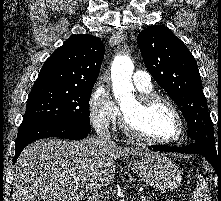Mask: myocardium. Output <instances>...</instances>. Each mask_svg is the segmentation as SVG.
Here are the masks:
<instances>
[{"label":"myocardium","mask_w":221,"mask_h":201,"mask_svg":"<svg viewBox=\"0 0 221 201\" xmlns=\"http://www.w3.org/2000/svg\"><path fill=\"white\" fill-rule=\"evenodd\" d=\"M136 101L139 107L141 108H146L154 103L161 102L166 104L172 112L175 114L178 123H179V132L178 134L171 139H157V138H152L147 135H144L137 131L129 122L125 112L122 109V114H121V120H120V127L122 131L128 135L129 137L144 141L147 143H152V144H160V145H168V144H173L178 142L185 134V120L179 110V108L176 106V104L171 101L169 98L156 94V93H142L139 94L136 97Z\"/></svg>","instance_id":"1"}]
</instances>
